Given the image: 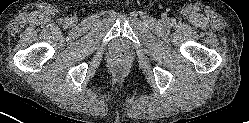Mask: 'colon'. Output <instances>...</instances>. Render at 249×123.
Wrapping results in <instances>:
<instances>
[{"label": "colon", "mask_w": 249, "mask_h": 123, "mask_svg": "<svg viewBox=\"0 0 249 123\" xmlns=\"http://www.w3.org/2000/svg\"><path fill=\"white\" fill-rule=\"evenodd\" d=\"M112 62L115 66H121L126 63V56L123 52H117L114 54Z\"/></svg>", "instance_id": "obj_1"}]
</instances>
